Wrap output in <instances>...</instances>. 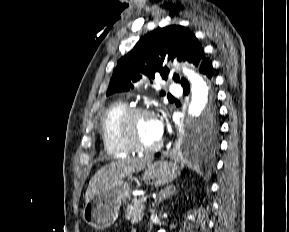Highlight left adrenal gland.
I'll list each match as a JSON object with an SVG mask.
<instances>
[{
    "instance_id": "1",
    "label": "left adrenal gland",
    "mask_w": 289,
    "mask_h": 232,
    "mask_svg": "<svg viewBox=\"0 0 289 232\" xmlns=\"http://www.w3.org/2000/svg\"><path fill=\"white\" fill-rule=\"evenodd\" d=\"M175 193H176V187L173 185H170L164 189H161V191L159 192L158 199H156L152 205L155 206L156 204H159L163 199L170 197L171 195H174Z\"/></svg>"
}]
</instances>
